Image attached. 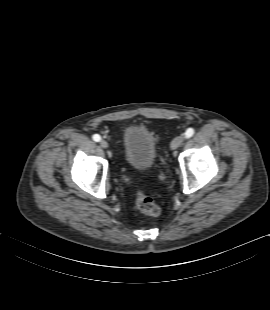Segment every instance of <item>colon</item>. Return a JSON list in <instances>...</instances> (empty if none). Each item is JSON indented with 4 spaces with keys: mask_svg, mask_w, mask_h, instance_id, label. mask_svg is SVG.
<instances>
[{
    "mask_svg": "<svg viewBox=\"0 0 270 310\" xmlns=\"http://www.w3.org/2000/svg\"><path fill=\"white\" fill-rule=\"evenodd\" d=\"M136 205L142 213L148 216L157 217L161 213V208L155 200L142 191L137 193Z\"/></svg>",
    "mask_w": 270,
    "mask_h": 310,
    "instance_id": "1",
    "label": "colon"
}]
</instances>
